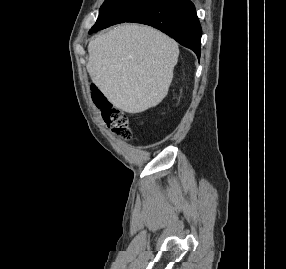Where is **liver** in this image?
<instances>
[{"label": "liver", "mask_w": 286, "mask_h": 269, "mask_svg": "<svg viewBox=\"0 0 286 269\" xmlns=\"http://www.w3.org/2000/svg\"><path fill=\"white\" fill-rule=\"evenodd\" d=\"M88 53L92 82L115 108L135 114L167 95L179 49L152 27L123 24L91 40Z\"/></svg>", "instance_id": "1"}]
</instances>
